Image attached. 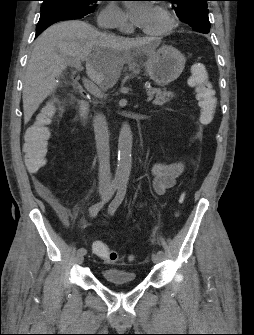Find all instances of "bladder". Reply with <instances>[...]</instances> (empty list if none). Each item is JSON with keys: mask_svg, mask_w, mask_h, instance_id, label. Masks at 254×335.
<instances>
[{"mask_svg": "<svg viewBox=\"0 0 254 335\" xmlns=\"http://www.w3.org/2000/svg\"><path fill=\"white\" fill-rule=\"evenodd\" d=\"M103 279L112 286L130 285L136 282V275L131 270L111 267L102 270Z\"/></svg>", "mask_w": 254, "mask_h": 335, "instance_id": "31cf9c89", "label": "bladder"}]
</instances>
